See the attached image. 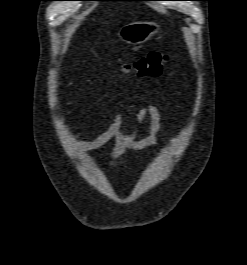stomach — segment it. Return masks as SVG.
I'll return each instance as SVG.
<instances>
[{
	"label": "stomach",
	"instance_id": "stomach-1",
	"mask_svg": "<svg viewBox=\"0 0 247 265\" xmlns=\"http://www.w3.org/2000/svg\"><path fill=\"white\" fill-rule=\"evenodd\" d=\"M159 30V25L153 21H140L124 25L118 32L120 40L138 45L149 40Z\"/></svg>",
	"mask_w": 247,
	"mask_h": 265
}]
</instances>
